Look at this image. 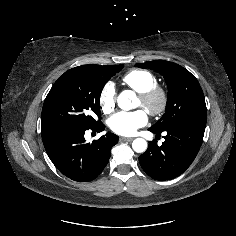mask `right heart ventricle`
Instances as JSON below:
<instances>
[{"instance_id":"1","label":"right heart ventricle","mask_w":236,"mask_h":236,"mask_svg":"<svg viewBox=\"0 0 236 236\" xmlns=\"http://www.w3.org/2000/svg\"><path fill=\"white\" fill-rule=\"evenodd\" d=\"M122 82L125 86L137 93L144 92L157 86L156 76L152 72L142 69H134L127 72L122 77Z\"/></svg>"}]
</instances>
